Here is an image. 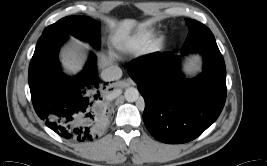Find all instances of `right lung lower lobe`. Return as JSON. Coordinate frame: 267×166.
Returning <instances> with one entry per match:
<instances>
[{
	"label": "right lung lower lobe",
	"instance_id": "right-lung-lower-lobe-1",
	"mask_svg": "<svg viewBox=\"0 0 267 166\" xmlns=\"http://www.w3.org/2000/svg\"><path fill=\"white\" fill-rule=\"evenodd\" d=\"M64 33H43L29 65V87L34 109L46 126L59 136L74 141L93 140L108 124L107 83L96 74L94 55L76 77L62 73L58 60Z\"/></svg>",
	"mask_w": 267,
	"mask_h": 166
}]
</instances>
